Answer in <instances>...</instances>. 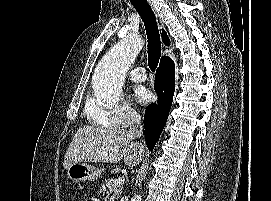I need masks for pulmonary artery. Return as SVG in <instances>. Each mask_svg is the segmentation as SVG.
<instances>
[{
  "label": "pulmonary artery",
  "instance_id": "pulmonary-artery-1",
  "mask_svg": "<svg viewBox=\"0 0 271 201\" xmlns=\"http://www.w3.org/2000/svg\"><path fill=\"white\" fill-rule=\"evenodd\" d=\"M129 78L134 81V82H143L146 80L147 75L145 72V69L142 67L136 68L134 70H132L129 74H128Z\"/></svg>",
  "mask_w": 271,
  "mask_h": 201
}]
</instances>
